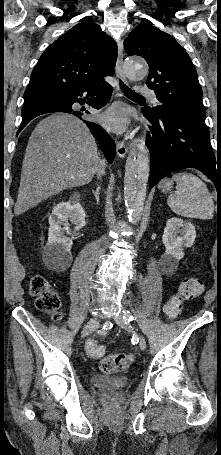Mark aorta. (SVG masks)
<instances>
[{
	"instance_id": "aorta-1",
	"label": "aorta",
	"mask_w": 221,
	"mask_h": 455,
	"mask_svg": "<svg viewBox=\"0 0 221 455\" xmlns=\"http://www.w3.org/2000/svg\"><path fill=\"white\" fill-rule=\"evenodd\" d=\"M124 72L131 80L143 79L148 75V66L144 60L130 57L124 62ZM149 172V151L144 144H138L127 157L124 176L125 205L133 223L143 213Z\"/></svg>"
}]
</instances>
